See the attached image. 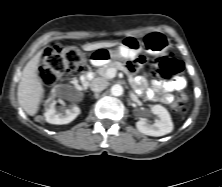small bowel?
I'll return each mask as SVG.
<instances>
[{
	"mask_svg": "<svg viewBox=\"0 0 222 187\" xmlns=\"http://www.w3.org/2000/svg\"><path fill=\"white\" fill-rule=\"evenodd\" d=\"M136 83L141 87L144 85V80L140 79ZM185 86V80L182 77L177 76L168 81L155 83L152 88L146 90L145 97L154 102L171 104L174 101L173 92L180 91L184 89Z\"/></svg>",
	"mask_w": 222,
	"mask_h": 187,
	"instance_id": "obj_1",
	"label": "small bowel"
}]
</instances>
